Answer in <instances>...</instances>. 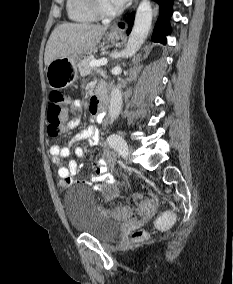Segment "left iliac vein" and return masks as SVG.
<instances>
[{
    "mask_svg": "<svg viewBox=\"0 0 233 284\" xmlns=\"http://www.w3.org/2000/svg\"><path fill=\"white\" fill-rule=\"evenodd\" d=\"M132 151H133V149L131 147H127V149L124 153V159H125L126 162H130Z\"/></svg>",
    "mask_w": 233,
    "mask_h": 284,
    "instance_id": "obj_1",
    "label": "left iliac vein"
}]
</instances>
